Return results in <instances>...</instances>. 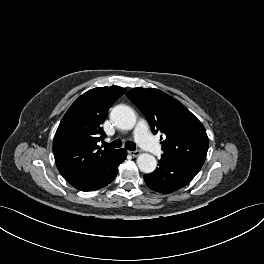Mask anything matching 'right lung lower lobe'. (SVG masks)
Returning <instances> with one entry per match:
<instances>
[{
    "mask_svg": "<svg viewBox=\"0 0 264 264\" xmlns=\"http://www.w3.org/2000/svg\"><path fill=\"white\" fill-rule=\"evenodd\" d=\"M126 156V150H115L97 164L66 180L81 191L98 190L107 186L115 179L118 166L124 162Z\"/></svg>",
    "mask_w": 264,
    "mask_h": 264,
    "instance_id": "right-lung-lower-lobe-1",
    "label": "right lung lower lobe"
}]
</instances>
